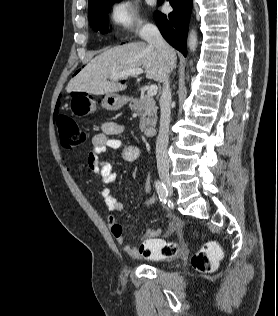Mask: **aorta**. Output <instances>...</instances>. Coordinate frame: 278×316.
<instances>
[{
    "label": "aorta",
    "mask_w": 278,
    "mask_h": 316,
    "mask_svg": "<svg viewBox=\"0 0 278 316\" xmlns=\"http://www.w3.org/2000/svg\"><path fill=\"white\" fill-rule=\"evenodd\" d=\"M197 34L195 30H191L190 34H189V38H188V46L190 48L191 51H195L196 47H197Z\"/></svg>",
    "instance_id": "1"
}]
</instances>
